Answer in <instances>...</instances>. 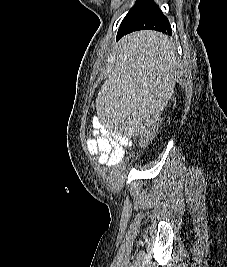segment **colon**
<instances>
[{"label":"colon","mask_w":227,"mask_h":267,"mask_svg":"<svg viewBox=\"0 0 227 267\" xmlns=\"http://www.w3.org/2000/svg\"><path fill=\"white\" fill-rule=\"evenodd\" d=\"M153 123L149 125V128L143 130L142 139L136 142L135 149L132 153L125 156L126 161H124V171H133V164H137L138 158L141 156V152H145L147 144H150V140L156 139V131H161V126L163 124L162 114L153 115Z\"/></svg>","instance_id":"colon-1"}]
</instances>
